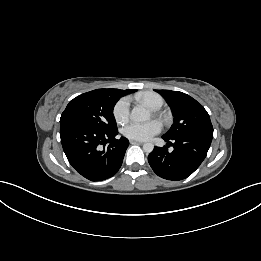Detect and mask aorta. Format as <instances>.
Instances as JSON below:
<instances>
[{
    "mask_svg": "<svg viewBox=\"0 0 261 261\" xmlns=\"http://www.w3.org/2000/svg\"><path fill=\"white\" fill-rule=\"evenodd\" d=\"M150 112L144 107L138 106L132 109L131 119L136 122H145L150 119ZM154 149V145L150 142L144 143L143 150L146 153H151Z\"/></svg>",
    "mask_w": 261,
    "mask_h": 261,
    "instance_id": "obj_1",
    "label": "aorta"
}]
</instances>
